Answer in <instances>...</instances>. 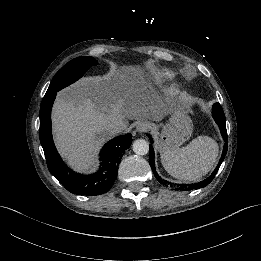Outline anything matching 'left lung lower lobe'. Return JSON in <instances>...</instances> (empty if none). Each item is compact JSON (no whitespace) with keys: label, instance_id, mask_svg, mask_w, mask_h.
Instances as JSON below:
<instances>
[{"label":"left lung lower lobe","instance_id":"0a47b994","mask_svg":"<svg viewBox=\"0 0 261 261\" xmlns=\"http://www.w3.org/2000/svg\"><path fill=\"white\" fill-rule=\"evenodd\" d=\"M212 115H213V118L215 119L216 123L218 124V126L220 128V132H221L223 139L227 140L228 137H227V131H226V119H225L223 109H222V107L219 103L213 104ZM150 140L152 141V138H150ZM227 150H228V144L225 143L224 147H223L222 157L220 158L219 164L215 168L213 173L207 179H205L201 182H198L196 184L181 185L182 189L192 190V189H199V188L207 186L214 179V177H215V175H216V173L219 169L220 164L224 160V157L227 153ZM149 164H150L152 170L154 172H156L155 161H154V150H153L152 145H150V149H149Z\"/></svg>","mask_w":261,"mask_h":261}]
</instances>
